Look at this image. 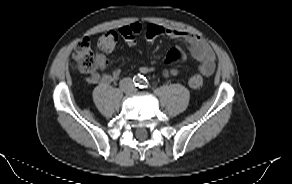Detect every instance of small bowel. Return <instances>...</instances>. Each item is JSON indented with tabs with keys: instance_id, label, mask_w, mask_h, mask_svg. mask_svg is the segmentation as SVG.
<instances>
[{
	"instance_id": "obj_1",
	"label": "small bowel",
	"mask_w": 292,
	"mask_h": 184,
	"mask_svg": "<svg viewBox=\"0 0 292 184\" xmlns=\"http://www.w3.org/2000/svg\"><path fill=\"white\" fill-rule=\"evenodd\" d=\"M162 35H166L173 39L182 40L192 57L199 63V71L204 76H210L215 68V55L211 47L199 36L180 31L174 28L162 27ZM143 31V26L139 22H133L129 25L122 26L119 29L120 35L124 41L129 45L133 46L136 44V37ZM107 58L103 53H99L96 56V69L102 71L101 73L94 71L89 76L91 83L102 82L109 84L119 79L121 70L114 69L111 72H106ZM154 68L151 66H141L139 71L142 74L153 71ZM178 73L176 68L165 69L163 71L164 76H173Z\"/></svg>"
}]
</instances>
